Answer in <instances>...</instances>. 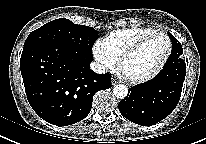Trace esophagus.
I'll return each mask as SVG.
<instances>
[{"instance_id": "1", "label": "esophagus", "mask_w": 206, "mask_h": 144, "mask_svg": "<svg viewBox=\"0 0 206 144\" xmlns=\"http://www.w3.org/2000/svg\"><path fill=\"white\" fill-rule=\"evenodd\" d=\"M112 85H116L118 83V80L115 79V78H112V81H111Z\"/></svg>"}]
</instances>
